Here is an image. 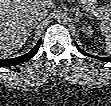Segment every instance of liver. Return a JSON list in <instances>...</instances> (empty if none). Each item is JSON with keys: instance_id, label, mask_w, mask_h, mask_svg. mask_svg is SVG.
Listing matches in <instances>:
<instances>
[{"instance_id": "1", "label": "liver", "mask_w": 111, "mask_h": 106, "mask_svg": "<svg viewBox=\"0 0 111 106\" xmlns=\"http://www.w3.org/2000/svg\"><path fill=\"white\" fill-rule=\"evenodd\" d=\"M48 0L0 1V54L7 57L26 43L33 25L32 11L37 6L49 7Z\"/></svg>"}]
</instances>
